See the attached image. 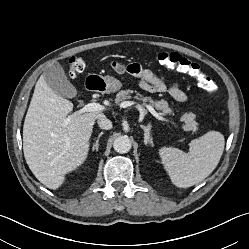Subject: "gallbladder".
<instances>
[{
    "label": "gallbladder",
    "instance_id": "gallbladder-1",
    "mask_svg": "<svg viewBox=\"0 0 249 249\" xmlns=\"http://www.w3.org/2000/svg\"><path fill=\"white\" fill-rule=\"evenodd\" d=\"M43 77L48 86L59 96L73 98L76 96V88L69 82L59 63H54L43 72Z\"/></svg>",
    "mask_w": 249,
    "mask_h": 249
}]
</instances>
